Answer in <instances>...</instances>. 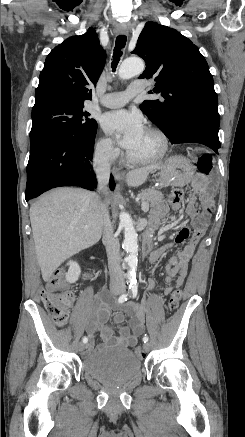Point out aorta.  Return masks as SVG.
<instances>
[{
    "instance_id": "obj_1",
    "label": "aorta",
    "mask_w": 245,
    "mask_h": 437,
    "mask_svg": "<svg viewBox=\"0 0 245 437\" xmlns=\"http://www.w3.org/2000/svg\"><path fill=\"white\" fill-rule=\"evenodd\" d=\"M145 69V64L140 58H129L123 61L119 68V78L129 79L139 75ZM120 225L124 228L123 248L127 252L125 258L129 266L128 278L134 280L136 277L137 255H138V235L134 228L131 216L126 212L119 215Z\"/></svg>"
}]
</instances>
